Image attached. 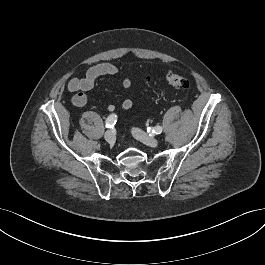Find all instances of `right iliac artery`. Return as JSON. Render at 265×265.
<instances>
[{
	"label": "right iliac artery",
	"mask_w": 265,
	"mask_h": 265,
	"mask_svg": "<svg viewBox=\"0 0 265 265\" xmlns=\"http://www.w3.org/2000/svg\"><path fill=\"white\" fill-rule=\"evenodd\" d=\"M116 121V114H111L110 116H108V118L106 119V128H113V126L116 124Z\"/></svg>",
	"instance_id": "82829eb1"
}]
</instances>
